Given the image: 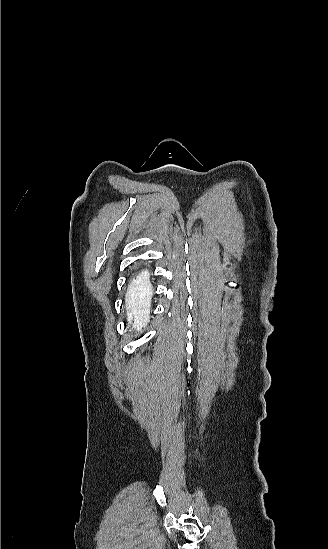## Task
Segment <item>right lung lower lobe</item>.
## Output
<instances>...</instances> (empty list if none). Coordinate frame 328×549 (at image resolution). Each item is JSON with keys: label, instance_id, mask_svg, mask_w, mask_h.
<instances>
[{"label": "right lung lower lobe", "instance_id": "right-lung-lower-lobe-1", "mask_svg": "<svg viewBox=\"0 0 328 549\" xmlns=\"http://www.w3.org/2000/svg\"><path fill=\"white\" fill-rule=\"evenodd\" d=\"M132 286L138 294H145L149 287V276L147 271L139 272L132 280Z\"/></svg>", "mask_w": 328, "mask_h": 549}]
</instances>
